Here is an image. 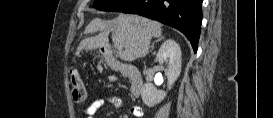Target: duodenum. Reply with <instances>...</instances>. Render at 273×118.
<instances>
[{"label": "duodenum", "mask_w": 273, "mask_h": 118, "mask_svg": "<svg viewBox=\"0 0 273 118\" xmlns=\"http://www.w3.org/2000/svg\"><path fill=\"white\" fill-rule=\"evenodd\" d=\"M103 58L112 69L119 71L124 77L128 79L130 83V94L133 97H138L141 94L144 86V81L139 69L131 64L117 61L110 54H104Z\"/></svg>", "instance_id": "410a0bca"}]
</instances>
